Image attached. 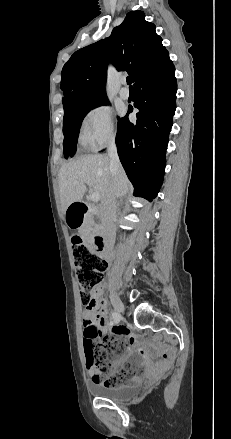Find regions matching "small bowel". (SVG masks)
<instances>
[{
	"label": "small bowel",
	"instance_id": "1",
	"mask_svg": "<svg viewBox=\"0 0 231 439\" xmlns=\"http://www.w3.org/2000/svg\"><path fill=\"white\" fill-rule=\"evenodd\" d=\"M100 290L96 289L93 294L94 305L87 307L83 312L84 320V339L83 343L94 345L99 341V327H106L107 314L104 310V303L99 298ZM112 331L119 334L124 338L130 349L125 357L120 359L110 370L109 373H114L118 368L122 367L127 361L130 360L132 355L138 356L141 360L145 362L147 375H153L156 371L161 368V366L166 362L162 359L159 363L153 362L151 355L142 347L138 346L137 338L132 334V332L124 327H111ZM130 365V364H129ZM127 365V367L129 366Z\"/></svg>",
	"mask_w": 231,
	"mask_h": 439
}]
</instances>
